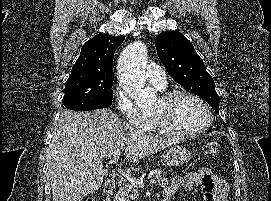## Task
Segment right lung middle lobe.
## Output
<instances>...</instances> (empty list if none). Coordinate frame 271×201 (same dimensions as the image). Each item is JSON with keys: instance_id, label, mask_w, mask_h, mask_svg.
Returning <instances> with one entry per match:
<instances>
[{"instance_id": "right-lung-middle-lobe-1", "label": "right lung middle lobe", "mask_w": 271, "mask_h": 201, "mask_svg": "<svg viewBox=\"0 0 271 201\" xmlns=\"http://www.w3.org/2000/svg\"><path fill=\"white\" fill-rule=\"evenodd\" d=\"M113 74H71L65 84L63 106L72 110L109 107L113 98Z\"/></svg>"}]
</instances>
